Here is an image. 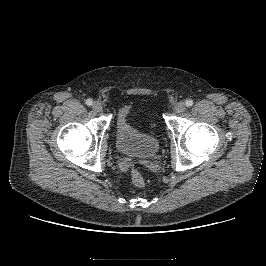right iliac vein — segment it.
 I'll list each match as a JSON object with an SVG mask.
<instances>
[{
	"mask_svg": "<svg viewBox=\"0 0 266 266\" xmlns=\"http://www.w3.org/2000/svg\"><path fill=\"white\" fill-rule=\"evenodd\" d=\"M92 108L95 112H101L103 110L102 104L98 101L93 103Z\"/></svg>",
	"mask_w": 266,
	"mask_h": 266,
	"instance_id": "right-iliac-vein-1",
	"label": "right iliac vein"
}]
</instances>
